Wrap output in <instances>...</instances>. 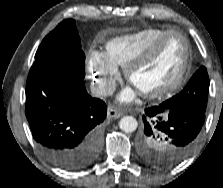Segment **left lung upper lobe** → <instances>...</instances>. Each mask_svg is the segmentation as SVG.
I'll return each instance as SVG.
<instances>
[{
	"label": "left lung upper lobe",
	"instance_id": "obj_1",
	"mask_svg": "<svg viewBox=\"0 0 223 188\" xmlns=\"http://www.w3.org/2000/svg\"><path fill=\"white\" fill-rule=\"evenodd\" d=\"M208 87L207 69L201 66L179 94L161 105L171 109H191L205 113ZM142 141L139 154L144 161L156 166H169L166 160L170 146L162 140L160 133L155 131L153 135H143Z\"/></svg>",
	"mask_w": 223,
	"mask_h": 188
}]
</instances>
